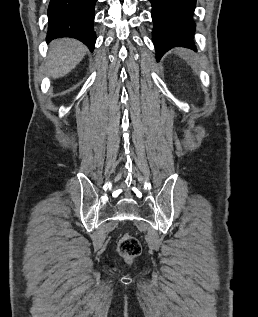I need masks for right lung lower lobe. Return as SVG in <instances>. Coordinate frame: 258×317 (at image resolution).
Returning <instances> with one entry per match:
<instances>
[{
  "label": "right lung lower lobe",
  "instance_id": "98d812e1",
  "mask_svg": "<svg viewBox=\"0 0 258 317\" xmlns=\"http://www.w3.org/2000/svg\"><path fill=\"white\" fill-rule=\"evenodd\" d=\"M97 0H50L46 40L71 37L93 51L96 34L93 29L94 6Z\"/></svg>",
  "mask_w": 258,
  "mask_h": 317
}]
</instances>
